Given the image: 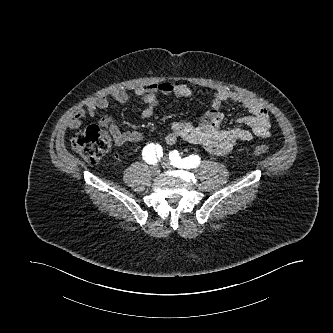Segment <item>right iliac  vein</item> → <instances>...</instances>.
Returning a JSON list of instances; mask_svg holds the SVG:
<instances>
[{"label":"right iliac vein","mask_w":333,"mask_h":333,"mask_svg":"<svg viewBox=\"0 0 333 333\" xmlns=\"http://www.w3.org/2000/svg\"><path fill=\"white\" fill-rule=\"evenodd\" d=\"M152 171L154 172V173H157L158 171H159V167L158 166H153L152 167Z\"/></svg>","instance_id":"obj_1"}]
</instances>
